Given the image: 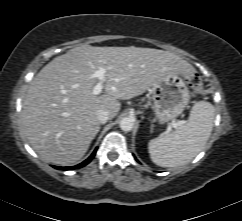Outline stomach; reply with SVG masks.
Here are the masks:
<instances>
[{
    "instance_id": "1",
    "label": "stomach",
    "mask_w": 242,
    "mask_h": 221,
    "mask_svg": "<svg viewBox=\"0 0 242 221\" xmlns=\"http://www.w3.org/2000/svg\"><path fill=\"white\" fill-rule=\"evenodd\" d=\"M153 109L159 123L179 116L190 100L186 75H169L156 81L151 88Z\"/></svg>"
}]
</instances>
